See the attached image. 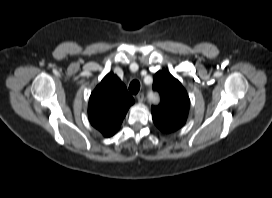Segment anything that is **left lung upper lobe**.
Segmentation results:
<instances>
[{
  "instance_id": "left-lung-upper-lobe-1",
  "label": "left lung upper lobe",
  "mask_w": 272,
  "mask_h": 198,
  "mask_svg": "<svg viewBox=\"0 0 272 198\" xmlns=\"http://www.w3.org/2000/svg\"><path fill=\"white\" fill-rule=\"evenodd\" d=\"M153 89L161 96L160 104L152 107L155 125L165 133L182 127L187 119L190 100L181 83L169 72L162 70L154 76Z\"/></svg>"
}]
</instances>
